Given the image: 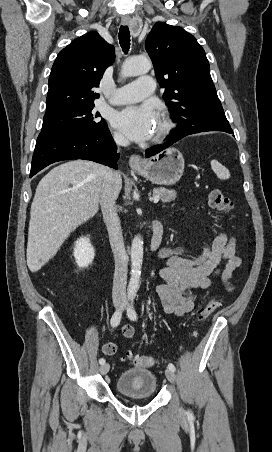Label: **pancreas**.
<instances>
[{
    "mask_svg": "<svg viewBox=\"0 0 272 452\" xmlns=\"http://www.w3.org/2000/svg\"><path fill=\"white\" fill-rule=\"evenodd\" d=\"M153 194H154V196L159 195L160 200L163 203L171 202V201L175 200L176 196H177V193L174 190H168L165 188H154Z\"/></svg>",
    "mask_w": 272,
    "mask_h": 452,
    "instance_id": "1",
    "label": "pancreas"
}]
</instances>
